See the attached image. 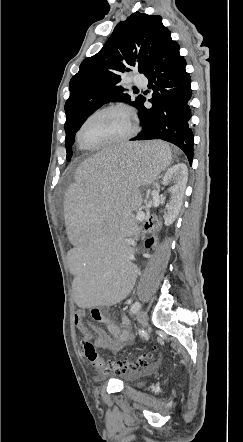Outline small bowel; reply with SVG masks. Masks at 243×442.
Returning a JSON list of instances; mask_svg holds the SVG:
<instances>
[{
  "label": "small bowel",
  "instance_id": "c3829d8e",
  "mask_svg": "<svg viewBox=\"0 0 243 442\" xmlns=\"http://www.w3.org/2000/svg\"><path fill=\"white\" fill-rule=\"evenodd\" d=\"M91 314L94 320L105 323L107 331L86 320L85 312L80 310L74 315V323L81 333L83 342L91 341L95 337L94 342L97 347L111 352H118L133 338V333L129 329L130 320L128 318L123 317L121 320L122 327H119L114 320L103 316L97 307L92 309Z\"/></svg>",
  "mask_w": 243,
  "mask_h": 442
}]
</instances>
